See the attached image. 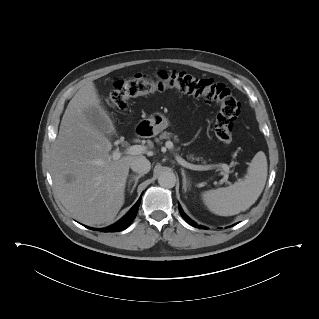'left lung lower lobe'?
Returning <instances> with one entry per match:
<instances>
[{
  "instance_id": "obj_1",
  "label": "left lung lower lobe",
  "mask_w": 319,
  "mask_h": 319,
  "mask_svg": "<svg viewBox=\"0 0 319 319\" xmlns=\"http://www.w3.org/2000/svg\"><path fill=\"white\" fill-rule=\"evenodd\" d=\"M179 211L181 216L185 219L186 222H188L190 225L194 226V227H198L200 229H205V227L201 226V225H197L194 221H192L189 217H187L184 212L182 211L181 207L179 206Z\"/></svg>"
}]
</instances>
